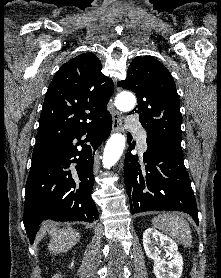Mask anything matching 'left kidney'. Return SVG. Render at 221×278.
<instances>
[{"instance_id": "obj_1", "label": "left kidney", "mask_w": 221, "mask_h": 278, "mask_svg": "<svg viewBox=\"0 0 221 278\" xmlns=\"http://www.w3.org/2000/svg\"><path fill=\"white\" fill-rule=\"evenodd\" d=\"M160 243L163 246L170 260L166 261L160 257V251L155 246ZM143 246L146 255L154 260L153 272L156 278H180L183 270V259L178 252V246L167 235H163L159 231L148 228L143 233Z\"/></svg>"}]
</instances>
